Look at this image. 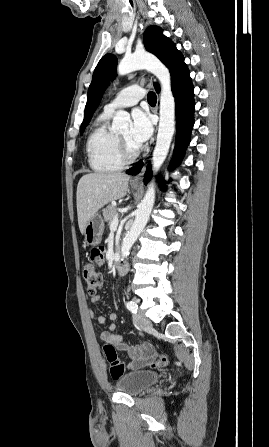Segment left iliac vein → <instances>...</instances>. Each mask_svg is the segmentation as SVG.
<instances>
[{
    "instance_id": "4c4485c4",
    "label": "left iliac vein",
    "mask_w": 269,
    "mask_h": 447,
    "mask_svg": "<svg viewBox=\"0 0 269 447\" xmlns=\"http://www.w3.org/2000/svg\"><path fill=\"white\" fill-rule=\"evenodd\" d=\"M133 320H134V323L137 326H139V327L146 328V327H150L151 326L150 320L146 316H144V315H140L138 313H134L133 314Z\"/></svg>"
}]
</instances>
